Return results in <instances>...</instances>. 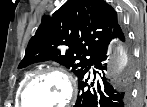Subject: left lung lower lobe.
I'll use <instances>...</instances> for the list:
<instances>
[{"label":"left lung lower lobe","mask_w":147,"mask_h":107,"mask_svg":"<svg viewBox=\"0 0 147 107\" xmlns=\"http://www.w3.org/2000/svg\"><path fill=\"white\" fill-rule=\"evenodd\" d=\"M114 38H118L122 42H125V36L119 24L114 26L106 44L96 54L78 78L80 94L78 95L74 107H128L131 92V73L124 79V81L122 80L118 86L110 85L106 81L104 75L101 76L103 81L102 85H100L99 82L95 85L94 82H91L90 84L87 83L88 79H90V73L88 77L87 74L93 64H95L97 69L102 71L106 70L108 57L107 51L110 41ZM93 72L95 79L96 71Z\"/></svg>","instance_id":"obj_1"}]
</instances>
